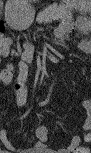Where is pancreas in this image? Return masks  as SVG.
<instances>
[{
	"instance_id": "pancreas-1",
	"label": "pancreas",
	"mask_w": 91,
	"mask_h": 153,
	"mask_svg": "<svg viewBox=\"0 0 91 153\" xmlns=\"http://www.w3.org/2000/svg\"><path fill=\"white\" fill-rule=\"evenodd\" d=\"M50 12V11H53L52 9H49V10H44V11H42V13L41 14H44V13H46V12Z\"/></svg>"
}]
</instances>
